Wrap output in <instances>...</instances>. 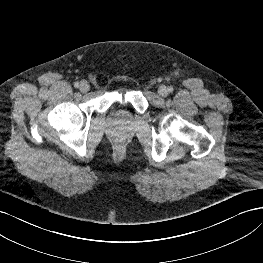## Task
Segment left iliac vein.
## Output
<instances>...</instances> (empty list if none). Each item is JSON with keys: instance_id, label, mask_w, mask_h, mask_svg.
Here are the masks:
<instances>
[{"instance_id": "obj_1", "label": "left iliac vein", "mask_w": 263, "mask_h": 263, "mask_svg": "<svg viewBox=\"0 0 263 263\" xmlns=\"http://www.w3.org/2000/svg\"><path fill=\"white\" fill-rule=\"evenodd\" d=\"M158 93L160 96L166 97L168 95V89L166 88V86L161 85L158 89Z\"/></svg>"}]
</instances>
